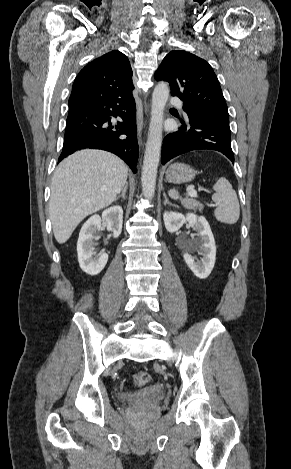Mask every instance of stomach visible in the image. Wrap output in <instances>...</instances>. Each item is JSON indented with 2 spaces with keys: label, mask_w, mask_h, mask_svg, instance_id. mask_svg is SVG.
Here are the masks:
<instances>
[{
  "label": "stomach",
  "mask_w": 291,
  "mask_h": 469,
  "mask_svg": "<svg viewBox=\"0 0 291 469\" xmlns=\"http://www.w3.org/2000/svg\"><path fill=\"white\" fill-rule=\"evenodd\" d=\"M166 179L174 184L190 182L194 179L196 171L184 163H174L165 172Z\"/></svg>",
  "instance_id": "0dacf381"
}]
</instances>
